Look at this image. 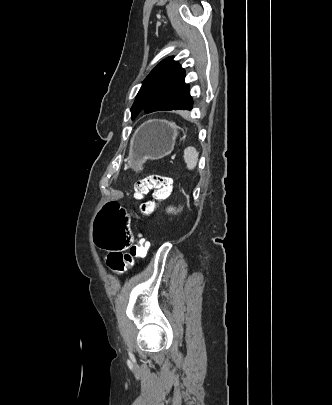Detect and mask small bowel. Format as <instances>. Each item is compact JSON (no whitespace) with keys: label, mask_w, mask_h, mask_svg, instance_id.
<instances>
[{"label":"small bowel","mask_w":332,"mask_h":405,"mask_svg":"<svg viewBox=\"0 0 332 405\" xmlns=\"http://www.w3.org/2000/svg\"><path fill=\"white\" fill-rule=\"evenodd\" d=\"M113 255H116V254H112V256H113ZM110 258H111V257H108V263H109V261H110Z\"/></svg>","instance_id":"1"}]
</instances>
